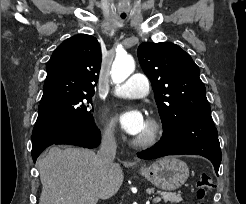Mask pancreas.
<instances>
[{
	"instance_id": "obj_1",
	"label": "pancreas",
	"mask_w": 246,
	"mask_h": 204,
	"mask_svg": "<svg viewBox=\"0 0 246 204\" xmlns=\"http://www.w3.org/2000/svg\"><path fill=\"white\" fill-rule=\"evenodd\" d=\"M151 193V190H148ZM161 197L165 202L178 203L182 201V197L180 194L170 193V192H159Z\"/></svg>"
}]
</instances>
